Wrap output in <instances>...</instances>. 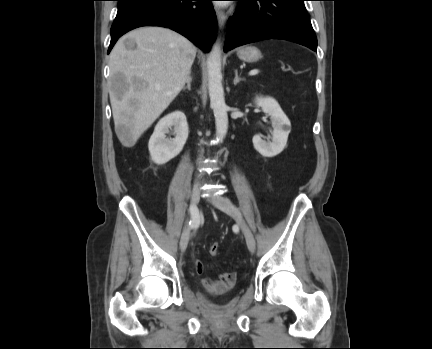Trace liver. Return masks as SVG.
I'll list each match as a JSON object with an SVG mask.
<instances>
[{
	"label": "liver",
	"mask_w": 432,
	"mask_h": 349,
	"mask_svg": "<svg viewBox=\"0 0 432 349\" xmlns=\"http://www.w3.org/2000/svg\"><path fill=\"white\" fill-rule=\"evenodd\" d=\"M133 39L135 49H128ZM196 47L163 27H141L124 35L110 53L109 96L116 135L133 147L186 83Z\"/></svg>",
	"instance_id": "1"
}]
</instances>
